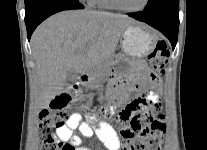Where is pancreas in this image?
<instances>
[{"mask_svg":"<svg viewBox=\"0 0 207 150\" xmlns=\"http://www.w3.org/2000/svg\"><path fill=\"white\" fill-rule=\"evenodd\" d=\"M107 73V71L105 70V67H98L96 70V81H99L100 78H102L105 74Z\"/></svg>","mask_w":207,"mask_h":150,"instance_id":"cf45deb5","label":"pancreas"}]
</instances>
